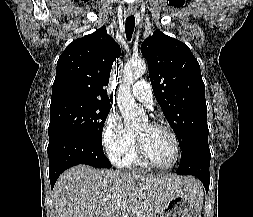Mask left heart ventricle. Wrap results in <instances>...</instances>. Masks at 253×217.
Returning a JSON list of instances; mask_svg holds the SVG:
<instances>
[{
  "mask_svg": "<svg viewBox=\"0 0 253 217\" xmlns=\"http://www.w3.org/2000/svg\"><path fill=\"white\" fill-rule=\"evenodd\" d=\"M136 134L142 140L146 154L155 164L167 166L172 162L174 144L168 131L145 122L137 128Z\"/></svg>",
  "mask_w": 253,
  "mask_h": 217,
  "instance_id": "1",
  "label": "left heart ventricle"
}]
</instances>
